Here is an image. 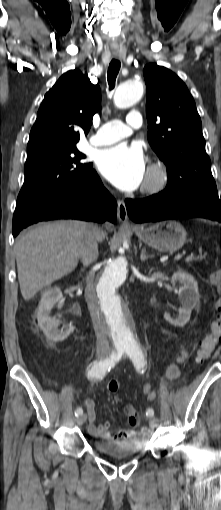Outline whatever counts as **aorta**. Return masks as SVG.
Wrapping results in <instances>:
<instances>
[{
    "mask_svg": "<svg viewBox=\"0 0 221 510\" xmlns=\"http://www.w3.org/2000/svg\"><path fill=\"white\" fill-rule=\"evenodd\" d=\"M143 92L141 81L124 82L115 91L114 104L120 109L131 107L141 99ZM127 266L125 257L119 256L113 259L96 282L100 315L117 350L138 347V338L130 311L118 293L127 279Z\"/></svg>",
    "mask_w": 221,
    "mask_h": 510,
    "instance_id": "obj_1",
    "label": "aorta"
}]
</instances>
